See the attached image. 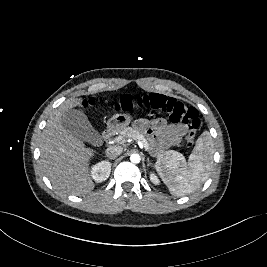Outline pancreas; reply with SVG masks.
<instances>
[{"label":"pancreas","instance_id":"1","mask_svg":"<svg viewBox=\"0 0 267 267\" xmlns=\"http://www.w3.org/2000/svg\"><path fill=\"white\" fill-rule=\"evenodd\" d=\"M119 134L124 140H127V139L141 140V141L145 140L147 142V140H146V138L144 137L143 134H141L137 130H134L131 127L123 128L122 130L119 131ZM147 145L149 147V143L148 142H147ZM175 153H176L175 151L169 150V151H164V152H161V153H154L153 155L161 160V159H170L175 155Z\"/></svg>","mask_w":267,"mask_h":267}]
</instances>
